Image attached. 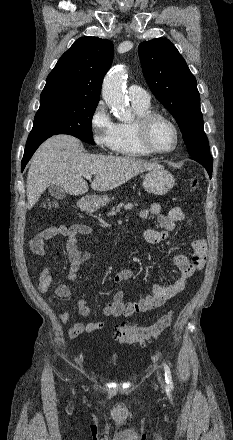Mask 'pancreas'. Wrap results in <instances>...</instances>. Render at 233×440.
I'll return each mask as SVG.
<instances>
[{"label": "pancreas", "instance_id": "obj_1", "mask_svg": "<svg viewBox=\"0 0 233 440\" xmlns=\"http://www.w3.org/2000/svg\"><path fill=\"white\" fill-rule=\"evenodd\" d=\"M135 206H137V204L135 205ZM133 204L132 203H120V204H118L116 207H113L112 209H111V211L108 213V216H114V215H116L117 213H119L120 212V209L121 208H124L125 210H131V209H133Z\"/></svg>", "mask_w": 233, "mask_h": 440}]
</instances>
